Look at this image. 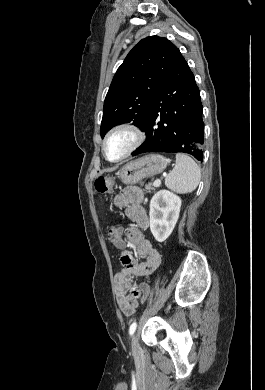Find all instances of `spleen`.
Wrapping results in <instances>:
<instances>
[{"label": "spleen", "mask_w": 265, "mask_h": 390, "mask_svg": "<svg viewBox=\"0 0 265 390\" xmlns=\"http://www.w3.org/2000/svg\"><path fill=\"white\" fill-rule=\"evenodd\" d=\"M201 178L196 162L185 154L176 155V165L165 179V185L180 194L193 192Z\"/></svg>", "instance_id": "3e777b00"}]
</instances>
